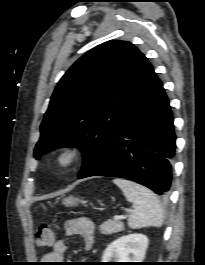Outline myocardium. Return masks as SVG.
I'll use <instances>...</instances> for the list:
<instances>
[{
    "label": "myocardium",
    "instance_id": "obj_1",
    "mask_svg": "<svg viewBox=\"0 0 205 265\" xmlns=\"http://www.w3.org/2000/svg\"><path fill=\"white\" fill-rule=\"evenodd\" d=\"M82 156V149L77 144H64L54 152L52 166L60 172L69 171L80 162Z\"/></svg>",
    "mask_w": 205,
    "mask_h": 265
}]
</instances>
